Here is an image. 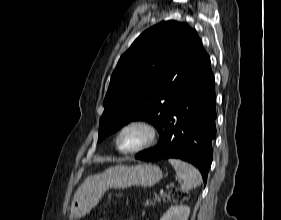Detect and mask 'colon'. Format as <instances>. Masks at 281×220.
Segmentation results:
<instances>
[{
	"label": "colon",
	"mask_w": 281,
	"mask_h": 220,
	"mask_svg": "<svg viewBox=\"0 0 281 220\" xmlns=\"http://www.w3.org/2000/svg\"><path fill=\"white\" fill-rule=\"evenodd\" d=\"M187 197H188V193L179 189L171 191L167 196L168 199L173 201H183L187 199Z\"/></svg>",
	"instance_id": "1"
}]
</instances>
